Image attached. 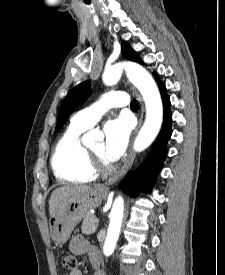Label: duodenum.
<instances>
[{"label": "duodenum", "instance_id": "410a0bca", "mask_svg": "<svg viewBox=\"0 0 225 275\" xmlns=\"http://www.w3.org/2000/svg\"><path fill=\"white\" fill-rule=\"evenodd\" d=\"M92 265L94 268H98L99 264H98V259L97 260H92Z\"/></svg>", "mask_w": 225, "mask_h": 275}]
</instances>
